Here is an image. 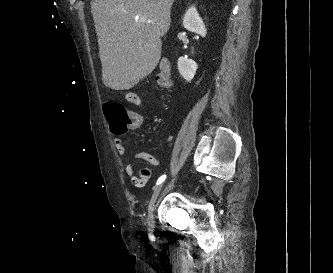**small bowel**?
<instances>
[{
	"label": "small bowel",
	"mask_w": 333,
	"mask_h": 273,
	"mask_svg": "<svg viewBox=\"0 0 333 273\" xmlns=\"http://www.w3.org/2000/svg\"><path fill=\"white\" fill-rule=\"evenodd\" d=\"M127 101L134 104L135 107H138V109H143V102L140 99V97L136 93H129L126 97ZM132 117L137 118V121L132 124L129 129H138L141 127L143 123V118L146 117V112L145 111H133L132 112ZM114 134V144L116 147L117 152L120 155H125L126 154V147L124 146L122 139H121V134L122 132H115L112 131ZM131 158L134 160H142L150 165L153 166H158L160 165V159L153 155L150 152L147 151H138L135 152L131 155ZM125 172L129 176H133L135 172V166L134 163L129 162L125 165L124 167ZM133 182L137 187H141L142 185L137 183L135 180V177H133Z\"/></svg>",
	"instance_id": "1"
}]
</instances>
